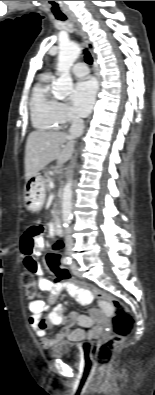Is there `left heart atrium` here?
<instances>
[{
	"label": "left heart atrium",
	"instance_id": "39dd6f15",
	"mask_svg": "<svg viewBox=\"0 0 155 395\" xmlns=\"http://www.w3.org/2000/svg\"><path fill=\"white\" fill-rule=\"evenodd\" d=\"M97 93V83L94 79L88 78L79 81L73 91L72 103L74 110L81 116L87 115L95 101Z\"/></svg>",
	"mask_w": 155,
	"mask_h": 395
}]
</instances>
